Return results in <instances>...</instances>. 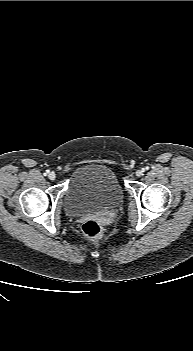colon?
Returning <instances> with one entry per match:
<instances>
[{"instance_id": "5ec220e1", "label": "colon", "mask_w": 193, "mask_h": 351, "mask_svg": "<svg viewBox=\"0 0 193 351\" xmlns=\"http://www.w3.org/2000/svg\"><path fill=\"white\" fill-rule=\"evenodd\" d=\"M83 235L90 240H99L104 235L102 224L97 220H88L82 225Z\"/></svg>"}]
</instances>
